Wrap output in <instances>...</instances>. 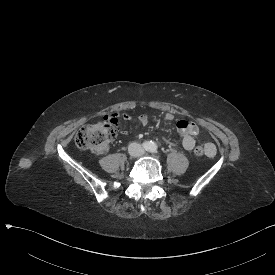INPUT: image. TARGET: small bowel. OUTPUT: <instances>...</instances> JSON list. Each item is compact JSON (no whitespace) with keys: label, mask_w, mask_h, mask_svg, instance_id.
I'll return each mask as SVG.
<instances>
[{"label":"small bowel","mask_w":275,"mask_h":275,"mask_svg":"<svg viewBox=\"0 0 275 275\" xmlns=\"http://www.w3.org/2000/svg\"><path fill=\"white\" fill-rule=\"evenodd\" d=\"M123 118L124 121H132L133 117L130 116L129 114H124L121 113L120 111H113L112 115L110 114H105L102 116V121L103 122H113L115 125V130L119 131L120 135H127L128 134V129L127 128H122L121 124H118L117 120H114L115 118ZM165 119L167 121H172L173 120V114L172 113H167L165 115ZM140 121L142 123H147L148 118L146 115H141L140 116ZM177 129L178 132L180 133L182 140H181V145L183 148L187 151H191L194 149L196 145L195 137L199 134V127L196 123L182 119L177 121ZM205 150H206V155L208 157H213L216 154V147L213 143H206L205 144ZM213 151V152H211Z\"/></svg>","instance_id":"small-bowel-1"}]
</instances>
